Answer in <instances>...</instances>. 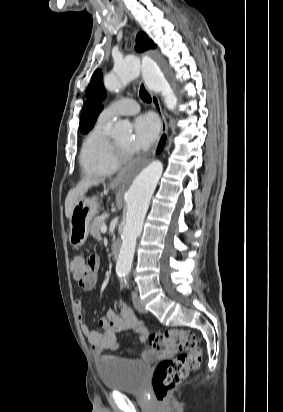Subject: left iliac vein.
<instances>
[{
    "label": "left iliac vein",
    "mask_w": 283,
    "mask_h": 412,
    "mask_svg": "<svg viewBox=\"0 0 283 412\" xmlns=\"http://www.w3.org/2000/svg\"><path fill=\"white\" fill-rule=\"evenodd\" d=\"M132 301H133V304H134L135 308H136L140 313H146V312H147V310L145 309L142 301H141L140 298H139L138 293L135 292V291L132 292Z\"/></svg>",
    "instance_id": "1"
}]
</instances>
